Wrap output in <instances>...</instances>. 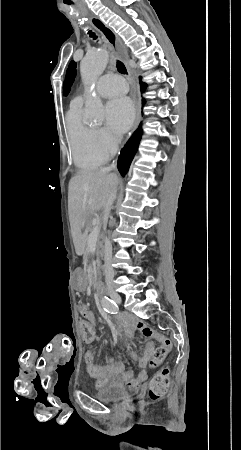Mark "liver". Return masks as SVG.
Returning <instances> with one entry per match:
<instances>
[{"mask_svg":"<svg viewBox=\"0 0 241 450\" xmlns=\"http://www.w3.org/2000/svg\"><path fill=\"white\" fill-rule=\"evenodd\" d=\"M118 184L117 176L107 174L105 168L92 172H77L69 184V212L76 254H83L87 234L85 226L91 224V214L104 210V222L108 214L105 206Z\"/></svg>","mask_w":241,"mask_h":450,"instance_id":"obj_1","label":"liver"}]
</instances>
